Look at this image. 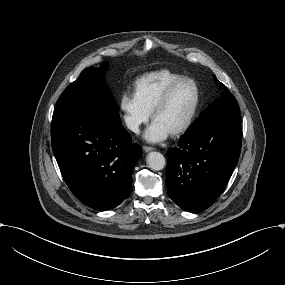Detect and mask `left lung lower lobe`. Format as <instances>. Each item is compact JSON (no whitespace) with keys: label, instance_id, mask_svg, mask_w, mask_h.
<instances>
[{"label":"left lung lower lobe","instance_id":"obj_1","mask_svg":"<svg viewBox=\"0 0 285 285\" xmlns=\"http://www.w3.org/2000/svg\"><path fill=\"white\" fill-rule=\"evenodd\" d=\"M242 143L238 110L211 116L188 130L168 152L169 197L182 209L200 212L224 191L238 163Z\"/></svg>","mask_w":285,"mask_h":285}]
</instances>
